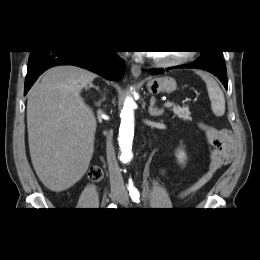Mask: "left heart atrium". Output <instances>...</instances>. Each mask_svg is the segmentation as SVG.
<instances>
[{"label": "left heart atrium", "instance_id": "obj_1", "mask_svg": "<svg viewBox=\"0 0 260 260\" xmlns=\"http://www.w3.org/2000/svg\"><path fill=\"white\" fill-rule=\"evenodd\" d=\"M147 54H148V55H153L154 53H153V52H148Z\"/></svg>", "mask_w": 260, "mask_h": 260}]
</instances>
